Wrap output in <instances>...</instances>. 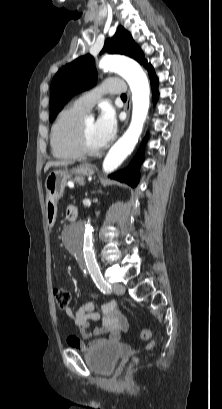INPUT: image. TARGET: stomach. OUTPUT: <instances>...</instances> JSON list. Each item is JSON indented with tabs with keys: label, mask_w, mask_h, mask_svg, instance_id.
<instances>
[{
	"label": "stomach",
	"mask_w": 222,
	"mask_h": 409,
	"mask_svg": "<svg viewBox=\"0 0 222 409\" xmlns=\"http://www.w3.org/2000/svg\"><path fill=\"white\" fill-rule=\"evenodd\" d=\"M70 174L81 176H90L94 174L91 165L82 164L73 168L70 172L67 170H53L45 180L46 188V219L49 226H53L57 217V202L64 193V189Z\"/></svg>",
	"instance_id": "1"
}]
</instances>
